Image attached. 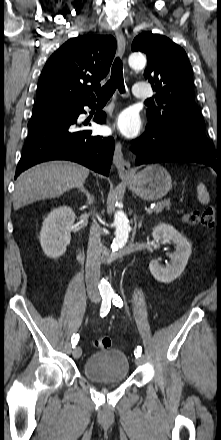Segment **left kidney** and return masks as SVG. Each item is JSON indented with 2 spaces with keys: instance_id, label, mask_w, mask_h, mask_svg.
Segmentation results:
<instances>
[{
  "instance_id": "5707ae66",
  "label": "left kidney",
  "mask_w": 221,
  "mask_h": 440,
  "mask_svg": "<svg viewBox=\"0 0 221 440\" xmlns=\"http://www.w3.org/2000/svg\"><path fill=\"white\" fill-rule=\"evenodd\" d=\"M152 236L157 241H171L175 245V252L170 255V264L162 267L157 260H152L149 263L150 272L156 280L162 283H170L184 271L192 253L191 243L172 225L167 223L157 225L152 231Z\"/></svg>"
}]
</instances>
